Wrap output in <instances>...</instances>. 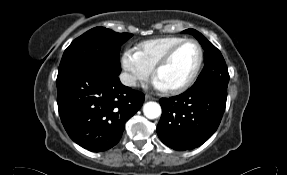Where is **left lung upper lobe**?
<instances>
[{"instance_id": "1", "label": "left lung upper lobe", "mask_w": 287, "mask_h": 175, "mask_svg": "<svg viewBox=\"0 0 287 175\" xmlns=\"http://www.w3.org/2000/svg\"><path fill=\"white\" fill-rule=\"evenodd\" d=\"M183 33L194 35L205 50L204 68L190 89L196 90L207 86L227 89L229 73L221 52L198 31L187 29Z\"/></svg>"}]
</instances>
